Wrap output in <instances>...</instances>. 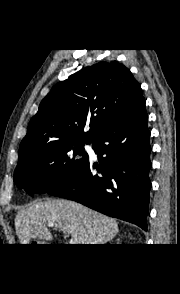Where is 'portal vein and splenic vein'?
Listing matches in <instances>:
<instances>
[{
	"instance_id": "1",
	"label": "portal vein and splenic vein",
	"mask_w": 180,
	"mask_h": 294,
	"mask_svg": "<svg viewBox=\"0 0 180 294\" xmlns=\"http://www.w3.org/2000/svg\"><path fill=\"white\" fill-rule=\"evenodd\" d=\"M47 225L49 227H53L55 224L53 222H49ZM69 244L76 245L78 244V240L76 238H71Z\"/></svg>"
}]
</instances>
